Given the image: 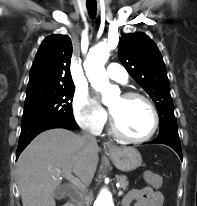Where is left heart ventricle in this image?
<instances>
[{
  "label": "left heart ventricle",
  "mask_w": 197,
  "mask_h": 206,
  "mask_svg": "<svg viewBox=\"0 0 197 206\" xmlns=\"http://www.w3.org/2000/svg\"><path fill=\"white\" fill-rule=\"evenodd\" d=\"M109 109L123 132L133 137L147 135L153 126V115L149 106L140 99L114 98Z\"/></svg>",
  "instance_id": "obj_1"
}]
</instances>
